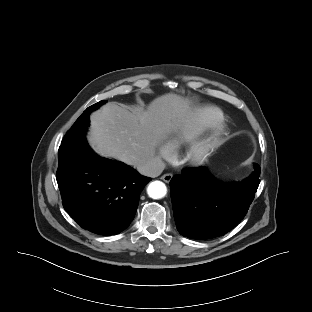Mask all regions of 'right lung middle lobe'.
Masks as SVG:
<instances>
[{"instance_id": "obj_1", "label": "right lung middle lobe", "mask_w": 312, "mask_h": 312, "mask_svg": "<svg viewBox=\"0 0 312 312\" xmlns=\"http://www.w3.org/2000/svg\"><path fill=\"white\" fill-rule=\"evenodd\" d=\"M104 103H106V101L102 100L88 107L76 120L71 129L66 133L58 151L59 165L66 164L74 156V151L77 146L85 141L84 134L90 123L89 114L90 112L98 109Z\"/></svg>"}]
</instances>
